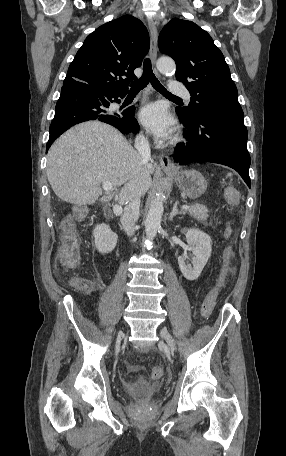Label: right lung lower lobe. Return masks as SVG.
<instances>
[{
	"instance_id": "1",
	"label": "right lung lower lobe",
	"mask_w": 286,
	"mask_h": 456,
	"mask_svg": "<svg viewBox=\"0 0 286 456\" xmlns=\"http://www.w3.org/2000/svg\"><path fill=\"white\" fill-rule=\"evenodd\" d=\"M124 95L111 96L83 83L65 82L50 125L46 152L63 132L84 121L98 120L116 127L122 133H137L139 125L134 118V107L123 112L109 109L111 103H119L118 98H123Z\"/></svg>"
}]
</instances>
